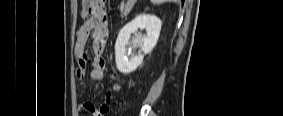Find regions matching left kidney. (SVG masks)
<instances>
[{
    "mask_svg": "<svg viewBox=\"0 0 283 116\" xmlns=\"http://www.w3.org/2000/svg\"><path fill=\"white\" fill-rule=\"evenodd\" d=\"M161 25V20L155 15L141 14L120 30L115 43V60L121 73H131L143 62L144 56L158 41ZM138 29H145L146 34H137ZM132 34L134 37L130 40Z\"/></svg>",
    "mask_w": 283,
    "mask_h": 116,
    "instance_id": "obj_1",
    "label": "left kidney"
}]
</instances>
